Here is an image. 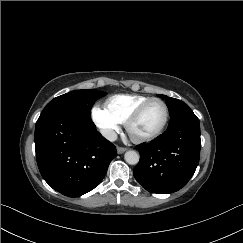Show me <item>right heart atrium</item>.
Segmentation results:
<instances>
[{
  "instance_id": "1",
  "label": "right heart atrium",
  "mask_w": 243,
  "mask_h": 243,
  "mask_svg": "<svg viewBox=\"0 0 243 243\" xmlns=\"http://www.w3.org/2000/svg\"><path fill=\"white\" fill-rule=\"evenodd\" d=\"M91 117L101 133L112 138L120 129L119 120L113 116L105 107L96 105L92 108Z\"/></svg>"
}]
</instances>
